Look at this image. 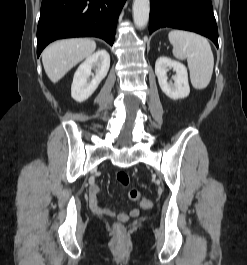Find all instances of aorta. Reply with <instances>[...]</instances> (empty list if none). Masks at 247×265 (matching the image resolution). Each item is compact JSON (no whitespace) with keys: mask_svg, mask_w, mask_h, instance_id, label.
Wrapping results in <instances>:
<instances>
[{"mask_svg":"<svg viewBox=\"0 0 247 265\" xmlns=\"http://www.w3.org/2000/svg\"><path fill=\"white\" fill-rule=\"evenodd\" d=\"M133 20L138 28H144L149 20V0H134Z\"/></svg>","mask_w":247,"mask_h":265,"instance_id":"762f6f07","label":"aorta"}]
</instances>
